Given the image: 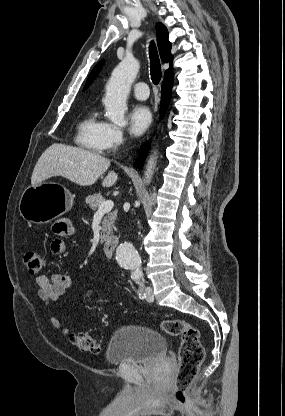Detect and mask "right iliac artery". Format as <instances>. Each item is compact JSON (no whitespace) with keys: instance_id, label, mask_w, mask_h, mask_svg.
Returning a JSON list of instances; mask_svg holds the SVG:
<instances>
[{"instance_id":"1","label":"right iliac artery","mask_w":285,"mask_h":416,"mask_svg":"<svg viewBox=\"0 0 285 416\" xmlns=\"http://www.w3.org/2000/svg\"><path fill=\"white\" fill-rule=\"evenodd\" d=\"M140 277H141V275H140V274H136V273H134V274H133V279H134V280H139V279H140Z\"/></svg>"}]
</instances>
